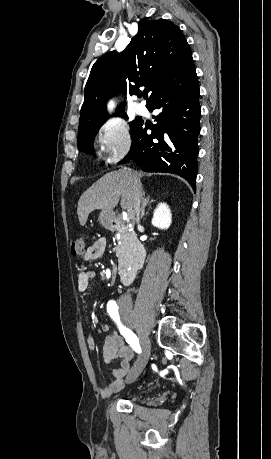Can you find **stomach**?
I'll use <instances>...</instances> for the list:
<instances>
[{"label":"stomach","mask_w":271,"mask_h":459,"mask_svg":"<svg viewBox=\"0 0 271 459\" xmlns=\"http://www.w3.org/2000/svg\"><path fill=\"white\" fill-rule=\"evenodd\" d=\"M112 218H114V214H112V212H102L100 222L101 224H107V226H110Z\"/></svg>","instance_id":"obj_1"}]
</instances>
